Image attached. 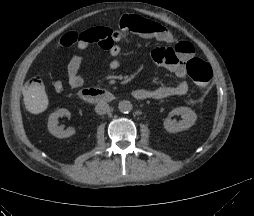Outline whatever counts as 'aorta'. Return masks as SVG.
I'll return each mask as SVG.
<instances>
[{"mask_svg":"<svg viewBox=\"0 0 254 216\" xmlns=\"http://www.w3.org/2000/svg\"><path fill=\"white\" fill-rule=\"evenodd\" d=\"M118 109L121 113H129L132 110V103L128 100H122L118 104Z\"/></svg>","mask_w":254,"mask_h":216,"instance_id":"762f6f07","label":"aorta"}]
</instances>
